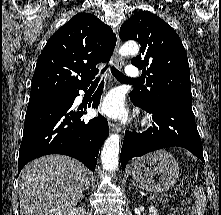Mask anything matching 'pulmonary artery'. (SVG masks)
I'll return each mask as SVG.
<instances>
[{
  "mask_svg": "<svg viewBox=\"0 0 221 215\" xmlns=\"http://www.w3.org/2000/svg\"><path fill=\"white\" fill-rule=\"evenodd\" d=\"M126 75L128 78L134 79L139 77L141 72L136 66L130 65L126 68Z\"/></svg>",
  "mask_w": 221,
  "mask_h": 215,
  "instance_id": "e3ab8cb5",
  "label": "pulmonary artery"
}]
</instances>
